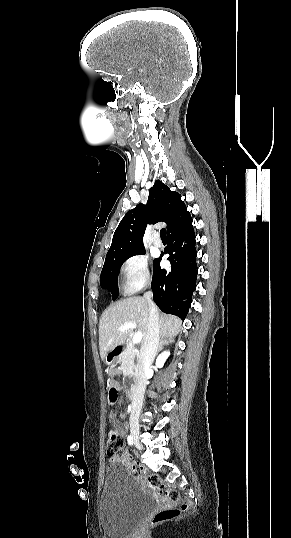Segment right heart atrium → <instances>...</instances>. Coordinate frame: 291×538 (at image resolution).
Returning a JSON list of instances; mask_svg holds the SVG:
<instances>
[{
  "label": "right heart atrium",
  "instance_id": "1",
  "mask_svg": "<svg viewBox=\"0 0 291 538\" xmlns=\"http://www.w3.org/2000/svg\"><path fill=\"white\" fill-rule=\"evenodd\" d=\"M121 275L127 293H135L149 284L151 275L147 258L139 253L128 256L121 264Z\"/></svg>",
  "mask_w": 291,
  "mask_h": 538
}]
</instances>
